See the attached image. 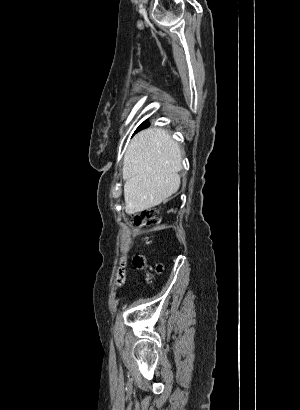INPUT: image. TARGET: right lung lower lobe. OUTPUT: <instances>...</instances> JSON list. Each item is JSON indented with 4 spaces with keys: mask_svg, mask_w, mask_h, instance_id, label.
I'll use <instances>...</instances> for the list:
<instances>
[{
    "mask_svg": "<svg viewBox=\"0 0 300 410\" xmlns=\"http://www.w3.org/2000/svg\"><path fill=\"white\" fill-rule=\"evenodd\" d=\"M148 123L147 122H145L142 126H146Z\"/></svg>",
    "mask_w": 300,
    "mask_h": 410,
    "instance_id": "obj_1",
    "label": "right lung lower lobe"
}]
</instances>
